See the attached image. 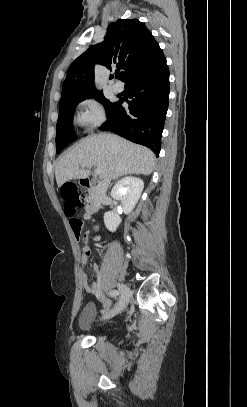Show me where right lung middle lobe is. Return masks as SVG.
<instances>
[{"label":"right lung middle lobe","mask_w":247,"mask_h":407,"mask_svg":"<svg viewBox=\"0 0 247 407\" xmlns=\"http://www.w3.org/2000/svg\"><path fill=\"white\" fill-rule=\"evenodd\" d=\"M94 97L97 99L99 102H101L106 110V114L108 115L113 107L115 106V103L109 102L103 95L102 93L100 94H94L89 96ZM85 98L82 99H77V100H72L65 102L63 104H60L59 106V117L57 121V133H56V152L59 153L63 148H65L68 144L76 140L77 136L74 134L73 131V115L76 106L78 103L83 101Z\"/></svg>","instance_id":"1"}]
</instances>
